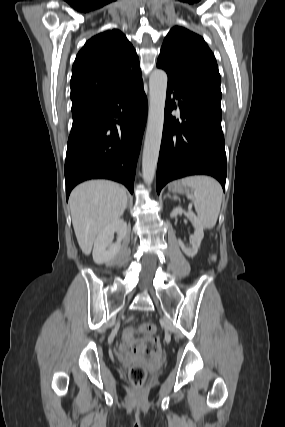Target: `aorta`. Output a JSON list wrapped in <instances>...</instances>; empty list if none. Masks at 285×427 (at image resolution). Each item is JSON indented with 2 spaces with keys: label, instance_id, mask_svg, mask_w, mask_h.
Instances as JSON below:
<instances>
[{
  "label": "aorta",
  "instance_id": "aorta-1",
  "mask_svg": "<svg viewBox=\"0 0 285 427\" xmlns=\"http://www.w3.org/2000/svg\"><path fill=\"white\" fill-rule=\"evenodd\" d=\"M167 82L168 78L164 70L155 69L152 71L149 78L150 100L148 123L142 155L143 179L148 185L154 179L159 157L164 124Z\"/></svg>",
  "mask_w": 285,
  "mask_h": 427
}]
</instances>
